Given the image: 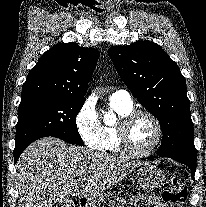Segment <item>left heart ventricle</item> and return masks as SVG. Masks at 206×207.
Masks as SVG:
<instances>
[{
    "mask_svg": "<svg viewBox=\"0 0 206 207\" xmlns=\"http://www.w3.org/2000/svg\"><path fill=\"white\" fill-rule=\"evenodd\" d=\"M156 136V129L152 121L141 116L133 121L128 130L130 145L138 151L148 149Z\"/></svg>",
    "mask_w": 206,
    "mask_h": 207,
    "instance_id": "left-heart-ventricle-1",
    "label": "left heart ventricle"
}]
</instances>
